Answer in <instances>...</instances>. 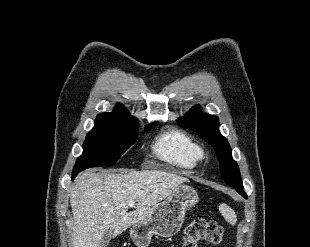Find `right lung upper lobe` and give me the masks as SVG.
Returning a JSON list of instances; mask_svg holds the SVG:
<instances>
[{
  "label": "right lung upper lobe",
  "instance_id": "cb5924a9",
  "mask_svg": "<svg viewBox=\"0 0 310 247\" xmlns=\"http://www.w3.org/2000/svg\"><path fill=\"white\" fill-rule=\"evenodd\" d=\"M97 118H108L114 120H120L125 122H134L137 123L136 118L129 115L124 107L118 106L112 113H101L97 116Z\"/></svg>",
  "mask_w": 310,
  "mask_h": 247
}]
</instances>
